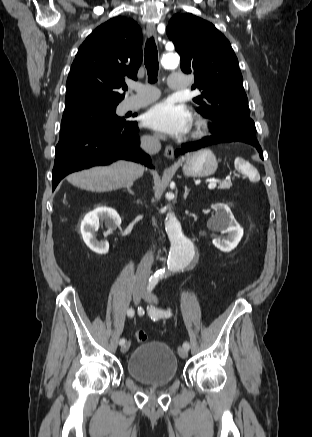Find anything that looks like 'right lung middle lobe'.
Listing matches in <instances>:
<instances>
[{
  "label": "right lung middle lobe",
  "instance_id": "right-lung-middle-lobe-1",
  "mask_svg": "<svg viewBox=\"0 0 312 437\" xmlns=\"http://www.w3.org/2000/svg\"><path fill=\"white\" fill-rule=\"evenodd\" d=\"M117 105H80L66 108L63 113L59 141L102 127L124 123L116 115Z\"/></svg>",
  "mask_w": 312,
  "mask_h": 437
}]
</instances>
